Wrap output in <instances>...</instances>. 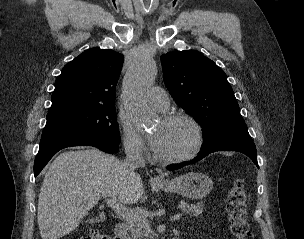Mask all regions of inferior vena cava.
I'll return each instance as SVG.
<instances>
[{
	"label": "inferior vena cava",
	"instance_id": "inferior-vena-cava-1",
	"mask_svg": "<svg viewBox=\"0 0 304 239\" xmlns=\"http://www.w3.org/2000/svg\"><path fill=\"white\" fill-rule=\"evenodd\" d=\"M124 148L126 154L125 168L127 169L129 175L134 177L136 176L134 170L145 165L142 150L139 145L131 141L125 142Z\"/></svg>",
	"mask_w": 304,
	"mask_h": 239
}]
</instances>
